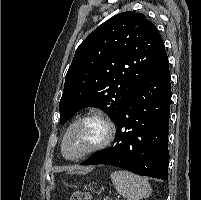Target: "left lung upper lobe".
<instances>
[{"instance_id": "obj_1", "label": "left lung upper lobe", "mask_w": 201, "mask_h": 200, "mask_svg": "<svg viewBox=\"0 0 201 200\" xmlns=\"http://www.w3.org/2000/svg\"><path fill=\"white\" fill-rule=\"evenodd\" d=\"M164 54L156 26L142 13H119L101 24L79 45L68 69L61 124L85 107H98L114 120Z\"/></svg>"}]
</instances>
